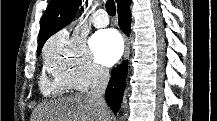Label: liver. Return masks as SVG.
<instances>
[{"label": "liver", "mask_w": 217, "mask_h": 121, "mask_svg": "<svg viewBox=\"0 0 217 121\" xmlns=\"http://www.w3.org/2000/svg\"><path fill=\"white\" fill-rule=\"evenodd\" d=\"M36 121H110L107 105L103 111L88 96H70L58 99L35 110Z\"/></svg>", "instance_id": "6515ba94"}]
</instances>
